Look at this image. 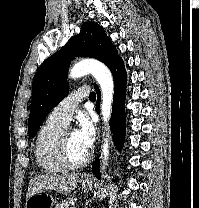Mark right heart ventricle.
<instances>
[{"mask_svg":"<svg viewBox=\"0 0 199 208\" xmlns=\"http://www.w3.org/2000/svg\"><path fill=\"white\" fill-rule=\"evenodd\" d=\"M64 127L65 124L49 117L38 132L34 155L37 165L45 173L54 174L65 169L56 157L57 141Z\"/></svg>","mask_w":199,"mask_h":208,"instance_id":"e07e8e85","label":"right heart ventricle"}]
</instances>
